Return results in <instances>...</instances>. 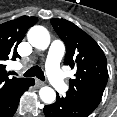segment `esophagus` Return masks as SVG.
I'll list each match as a JSON object with an SVG mask.
<instances>
[{
  "instance_id": "obj_1",
  "label": "esophagus",
  "mask_w": 117,
  "mask_h": 117,
  "mask_svg": "<svg viewBox=\"0 0 117 117\" xmlns=\"http://www.w3.org/2000/svg\"><path fill=\"white\" fill-rule=\"evenodd\" d=\"M44 85V83L40 80H36V86L37 87H42Z\"/></svg>"
}]
</instances>
